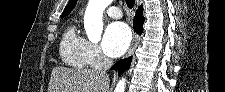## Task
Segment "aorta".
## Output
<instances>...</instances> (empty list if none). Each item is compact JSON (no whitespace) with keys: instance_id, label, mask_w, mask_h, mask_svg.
<instances>
[{"instance_id":"aorta-1","label":"aorta","mask_w":225,"mask_h":92,"mask_svg":"<svg viewBox=\"0 0 225 92\" xmlns=\"http://www.w3.org/2000/svg\"><path fill=\"white\" fill-rule=\"evenodd\" d=\"M112 0H89L85 14L84 27L91 41H99L103 30V12ZM126 78H121L115 92H124Z\"/></svg>"}]
</instances>
